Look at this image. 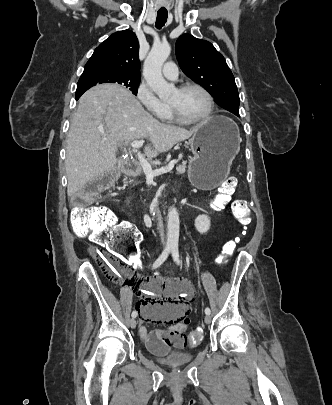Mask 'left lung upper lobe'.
Instances as JSON below:
<instances>
[{
  "instance_id": "5c2ea615",
  "label": "left lung upper lobe",
  "mask_w": 332,
  "mask_h": 405,
  "mask_svg": "<svg viewBox=\"0 0 332 405\" xmlns=\"http://www.w3.org/2000/svg\"><path fill=\"white\" fill-rule=\"evenodd\" d=\"M176 57L182 71L207 89L221 107L230 112L239 107L234 76L210 42L183 34L176 41Z\"/></svg>"
}]
</instances>
